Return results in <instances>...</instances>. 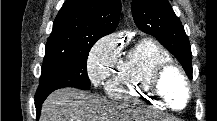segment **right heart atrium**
<instances>
[{
  "label": "right heart atrium",
  "mask_w": 217,
  "mask_h": 121,
  "mask_svg": "<svg viewBox=\"0 0 217 121\" xmlns=\"http://www.w3.org/2000/svg\"><path fill=\"white\" fill-rule=\"evenodd\" d=\"M119 46L114 36H105L92 48L88 61L87 72L94 86L106 80L117 63Z\"/></svg>",
  "instance_id": "right-heart-atrium-1"
}]
</instances>
